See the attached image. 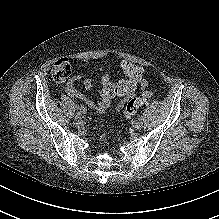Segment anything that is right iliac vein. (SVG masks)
Masks as SVG:
<instances>
[{
    "mask_svg": "<svg viewBox=\"0 0 219 219\" xmlns=\"http://www.w3.org/2000/svg\"><path fill=\"white\" fill-rule=\"evenodd\" d=\"M82 118H83L82 112H80V111L77 112L76 115H75V119L77 121H80Z\"/></svg>",
    "mask_w": 219,
    "mask_h": 219,
    "instance_id": "right-iliac-vein-1",
    "label": "right iliac vein"
}]
</instances>
